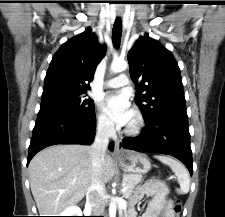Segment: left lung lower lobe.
Returning <instances> with one entry per match:
<instances>
[{
    "instance_id": "left-lung-lower-lobe-1",
    "label": "left lung lower lobe",
    "mask_w": 225,
    "mask_h": 217,
    "mask_svg": "<svg viewBox=\"0 0 225 217\" xmlns=\"http://www.w3.org/2000/svg\"><path fill=\"white\" fill-rule=\"evenodd\" d=\"M146 127L136 138L122 141L123 148L139 152L168 154L179 159L193 173L188 116L186 112L144 118Z\"/></svg>"
}]
</instances>
